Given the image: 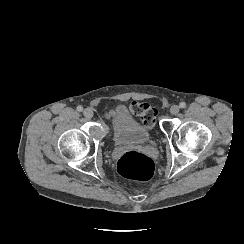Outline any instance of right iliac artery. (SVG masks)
<instances>
[{"label":"right iliac artery","instance_id":"right-iliac-artery-1","mask_svg":"<svg viewBox=\"0 0 244 244\" xmlns=\"http://www.w3.org/2000/svg\"><path fill=\"white\" fill-rule=\"evenodd\" d=\"M77 111H79V112L83 111V107L82 106H78L77 107Z\"/></svg>","mask_w":244,"mask_h":244}]
</instances>
